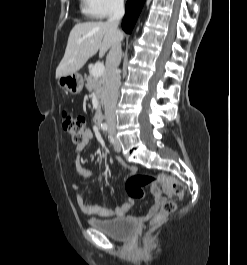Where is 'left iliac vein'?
Returning <instances> with one entry per match:
<instances>
[{"label":"left iliac vein","mask_w":247,"mask_h":265,"mask_svg":"<svg viewBox=\"0 0 247 265\" xmlns=\"http://www.w3.org/2000/svg\"><path fill=\"white\" fill-rule=\"evenodd\" d=\"M110 134H113V130H109ZM114 149L116 152H120L121 151V144H120V141L115 138V144H114Z\"/></svg>","instance_id":"1"}]
</instances>
